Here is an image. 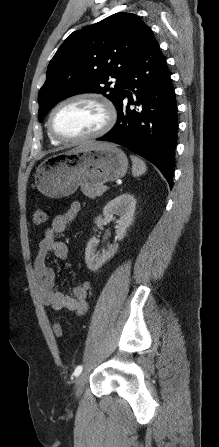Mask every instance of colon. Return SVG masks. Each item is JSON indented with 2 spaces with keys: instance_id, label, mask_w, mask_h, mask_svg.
Instances as JSON below:
<instances>
[{
  "instance_id": "obj_1",
  "label": "colon",
  "mask_w": 219,
  "mask_h": 447,
  "mask_svg": "<svg viewBox=\"0 0 219 447\" xmlns=\"http://www.w3.org/2000/svg\"><path fill=\"white\" fill-rule=\"evenodd\" d=\"M46 221L44 212L40 208H36L33 212V222L36 225H42ZM53 332L57 337L63 335V328L59 322L53 324Z\"/></svg>"
}]
</instances>
